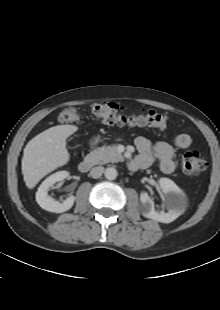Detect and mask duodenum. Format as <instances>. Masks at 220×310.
<instances>
[{"instance_id":"obj_1","label":"duodenum","mask_w":220,"mask_h":310,"mask_svg":"<svg viewBox=\"0 0 220 310\" xmlns=\"http://www.w3.org/2000/svg\"><path fill=\"white\" fill-rule=\"evenodd\" d=\"M132 164H133V161H131L130 165H132ZM93 165H94V159L93 158H86L79 163L78 169L82 173H87L91 170Z\"/></svg>"}]
</instances>
